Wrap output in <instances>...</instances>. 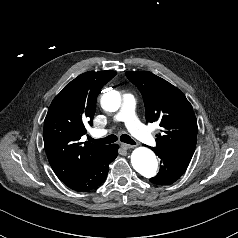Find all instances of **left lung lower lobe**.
I'll return each instance as SVG.
<instances>
[{
  "label": "left lung lower lobe",
  "instance_id": "left-lung-lower-lobe-1",
  "mask_svg": "<svg viewBox=\"0 0 238 238\" xmlns=\"http://www.w3.org/2000/svg\"><path fill=\"white\" fill-rule=\"evenodd\" d=\"M152 149L162 160L159 173L150 179V182L157 185H170L174 183L186 171L192 158L166 150Z\"/></svg>",
  "mask_w": 238,
  "mask_h": 238
}]
</instances>
